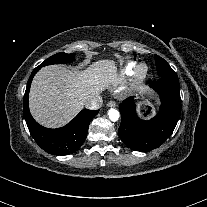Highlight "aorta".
<instances>
[{
    "mask_svg": "<svg viewBox=\"0 0 207 207\" xmlns=\"http://www.w3.org/2000/svg\"><path fill=\"white\" fill-rule=\"evenodd\" d=\"M108 116H109V119L111 121L115 122V121H117L119 119L120 113H119V111L117 109L111 108V109L108 110Z\"/></svg>",
    "mask_w": 207,
    "mask_h": 207,
    "instance_id": "aorta-1",
    "label": "aorta"
}]
</instances>
